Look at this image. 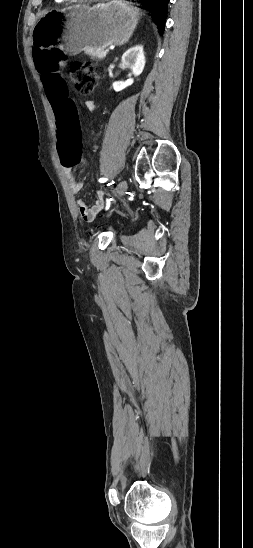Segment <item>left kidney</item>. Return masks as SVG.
Listing matches in <instances>:
<instances>
[{
  "mask_svg": "<svg viewBox=\"0 0 253 548\" xmlns=\"http://www.w3.org/2000/svg\"><path fill=\"white\" fill-rule=\"evenodd\" d=\"M122 64L132 71L134 76H139L145 67V55L142 45H136L127 50L122 56ZM134 82L133 78L126 81H116L113 83V89L116 92L122 91Z\"/></svg>",
  "mask_w": 253,
  "mask_h": 548,
  "instance_id": "obj_1",
  "label": "left kidney"
}]
</instances>
